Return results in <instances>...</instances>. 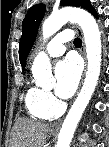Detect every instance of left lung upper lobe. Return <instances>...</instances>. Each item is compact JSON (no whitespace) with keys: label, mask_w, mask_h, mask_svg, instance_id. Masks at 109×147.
Here are the masks:
<instances>
[{"label":"left lung upper lobe","mask_w":109,"mask_h":147,"mask_svg":"<svg viewBox=\"0 0 109 147\" xmlns=\"http://www.w3.org/2000/svg\"><path fill=\"white\" fill-rule=\"evenodd\" d=\"M61 5L82 7L90 12L93 7L89 0H61ZM45 14V6L37 4L27 12L22 23V36L19 46V57L22 67H25L26 58L34 44L38 27Z\"/></svg>","instance_id":"left-lung-upper-lobe-1"}]
</instances>
